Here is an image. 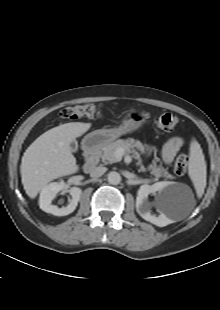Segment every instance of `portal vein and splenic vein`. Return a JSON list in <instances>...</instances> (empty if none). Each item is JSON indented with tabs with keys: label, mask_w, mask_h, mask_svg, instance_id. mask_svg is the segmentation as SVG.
<instances>
[{
	"label": "portal vein and splenic vein",
	"mask_w": 220,
	"mask_h": 310,
	"mask_svg": "<svg viewBox=\"0 0 220 310\" xmlns=\"http://www.w3.org/2000/svg\"><path fill=\"white\" fill-rule=\"evenodd\" d=\"M124 153H125L124 149L119 148V149L116 150L115 154H116L117 157L121 158L124 155Z\"/></svg>",
	"instance_id": "1"
}]
</instances>
